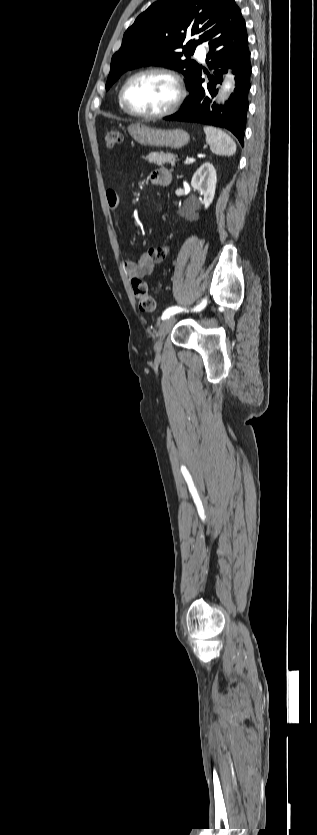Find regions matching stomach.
Segmentation results:
<instances>
[{
  "label": "stomach",
  "mask_w": 317,
  "mask_h": 835,
  "mask_svg": "<svg viewBox=\"0 0 317 835\" xmlns=\"http://www.w3.org/2000/svg\"><path fill=\"white\" fill-rule=\"evenodd\" d=\"M128 132L133 140L144 146L179 149L190 142L188 132L178 128L162 130L144 124H132L128 127Z\"/></svg>",
  "instance_id": "obj_1"
}]
</instances>
